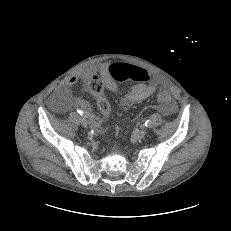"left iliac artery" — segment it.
<instances>
[{"mask_svg":"<svg viewBox=\"0 0 231 231\" xmlns=\"http://www.w3.org/2000/svg\"><path fill=\"white\" fill-rule=\"evenodd\" d=\"M144 125L146 127H150L151 126V121L150 120H146L145 123H144Z\"/></svg>","mask_w":231,"mask_h":231,"instance_id":"1","label":"left iliac artery"}]
</instances>
